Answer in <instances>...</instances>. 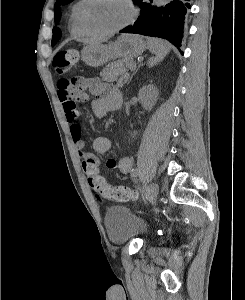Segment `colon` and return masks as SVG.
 Segmentation results:
<instances>
[{
    "label": "colon",
    "instance_id": "5ec220e1",
    "mask_svg": "<svg viewBox=\"0 0 245 300\" xmlns=\"http://www.w3.org/2000/svg\"><path fill=\"white\" fill-rule=\"evenodd\" d=\"M78 62V53L75 50H65L58 52L53 60V67L56 72L63 74ZM68 85L79 89V80H68ZM89 184L97 193L98 197L114 201L127 202L138 199L137 191L126 186H112L108 184L103 177L98 175L89 176Z\"/></svg>",
    "mask_w": 245,
    "mask_h": 300
}]
</instances>
